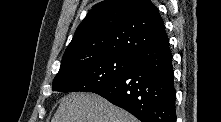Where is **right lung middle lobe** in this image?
Returning <instances> with one entry per match:
<instances>
[{"instance_id": "obj_1", "label": "right lung middle lobe", "mask_w": 221, "mask_h": 122, "mask_svg": "<svg viewBox=\"0 0 221 122\" xmlns=\"http://www.w3.org/2000/svg\"><path fill=\"white\" fill-rule=\"evenodd\" d=\"M132 59L127 56L109 55L80 62L58 73L52 89L60 92H92L120 77Z\"/></svg>"}]
</instances>
